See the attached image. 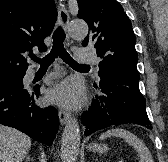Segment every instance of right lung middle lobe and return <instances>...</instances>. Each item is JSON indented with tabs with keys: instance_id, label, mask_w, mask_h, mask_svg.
I'll return each instance as SVG.
<instances>
[{
	"instance_id": "dd1d6c3e",
	"label": "right lung middle lobe",
	"mask_w": 168,
	"mask_h": 162,
	"mask_svg": "<svg viewBox=\"0 0 168 162\" xmlns=\"http://www.w3.org/2000/svg\"><path fill=\"white\" fill-rule=\"evenodd\" d=\"M23 75L24 74H15V75H8V76L0 77V85L7 83L9 81L20 80L22 79Z\"/></svg>"
}]
</instances>
